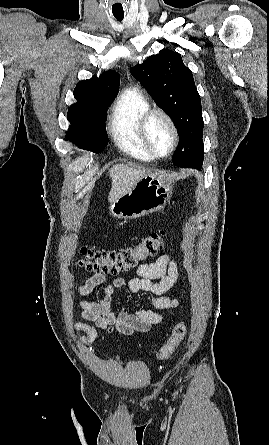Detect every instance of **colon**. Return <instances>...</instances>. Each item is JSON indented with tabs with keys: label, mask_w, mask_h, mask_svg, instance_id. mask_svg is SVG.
Segmentation results:
<instances>
[{
	"label": "colon",
	"mask_w": 269,
	"mask_h": 445,
	"mask_svg": "<svg viewBox=\"0 0 269 445\" xmlns=\"http://www.w3.org/2000/svg\"><path fill=\"white\" fill-rule=\"evenodd\" d=\"M167 238V230L161 229L151 233L138 245L120 250H99L86 246L79 249L80 265L88 270L104 274H118L136 268L139 263L155 256L163 249ZM187 333L184 323L174 326L169 340L157 351L159 359H167L178 348Z\"/></svg>",
	"instance_id": "colon-1"
}]
</instances>
